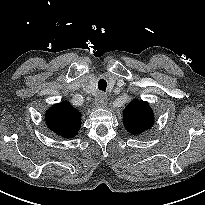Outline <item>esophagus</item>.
<instances>
[{"mask_svg": "<svg viewBox=\"0 0 205 205\" xmlns=\"http://www.w3.org/2000/svg\"><path fill=\"white\" fill-rule=\"evenodd\" d=\"M107 103H108L107 96L104 93H99L97 98H96L95 105L98 108H105Z\"/></svg>", "mask_w": 205, "mask_h": 205, "instance_id": "34e87169", "label": "esophagus"}]
</instances>
